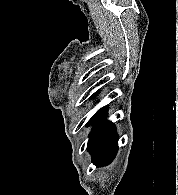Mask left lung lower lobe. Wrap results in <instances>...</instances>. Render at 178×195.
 Masks as SVG:
<instances>
[{"mask_svg": "<svg viewBox=\"0 0 178 195\" xmlns=\"http://www.w3.org/2000/svg\"><path fill=\"white\" fill-rule=\"evenodd\" d=\"M107 108L93 118L88 124H94L89 135L87 149L92 155V162L97 167L109 164L118 149L116 128L111 121H105Z\"/></svg>", "mask_w": 178, "mask_h": 195, "instance_id": "1", "label": "left lung lower lobe"}]
</instances>
